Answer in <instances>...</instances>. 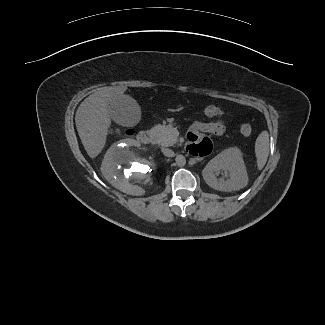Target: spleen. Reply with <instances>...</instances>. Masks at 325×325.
Here are the masks:
<instances>
[{
	"mask_svg": "<svg viewBox=\"0 0 325 325\" xmlns=\"http://www.w3.org/2000/svg\"><path fill=\"white\" fill-rule=\"evenodd\" d=\"M255 155L257 167L262 170L269 155V134L266 130L262 131L256 139Z\"/></svg>",
	"mask_w": 325,
	"mask_h": 325,
	"instance_id": "spleen-1",
	"label": "spleen"
}]
</instances>
